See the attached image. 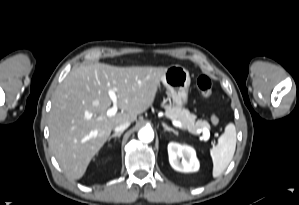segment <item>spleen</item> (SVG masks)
Returning <instances> with one entry per match:
<instances>
[{
  "label": "spleen",
  "mask_w": 299,
  "mask_h": 205,
  "mask_svg": "<svg viewBox=\"0 0 299 205\" xmlns=\"http://www.w3.org/2000/svg\"><path fill=\"white\" fill-rule=\"evenodd\" d=\"M236 148V129L234 124L230 123L225 127L223 134L219 137L218 143L210 150L213 161L214 178L219 177L229 163L232 161Z\"/></svg>",
  "instance_id": "1"
}]
</instances>
